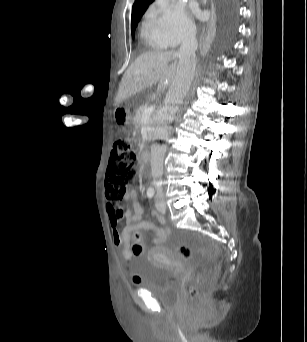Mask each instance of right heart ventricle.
I'll use <instances>...</instances> for the list:
<instances>
[{
    "instance_id": "obj_1",
    "label": "right heart ventricle",
    "mask_w": 307,
    "mask_h": 342,
    "mask_svg": "<svg viewBox=\"0 0 307 342\" xmlns=\"http://www.w3.org/2000/svg\"><path fill=\"white\" fill-rule=\"evenodd\" d=\"M139 40L142 44V48L145 53L157 52L163 49L164 47L163 45H161L160 43L156 42L155 40H153L152 38L148 37L143 33L140 34Z\"/></svg>"
}]
</instances>
